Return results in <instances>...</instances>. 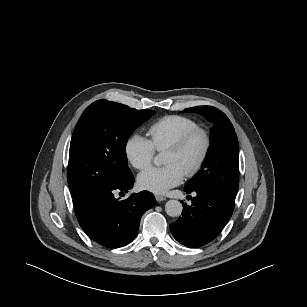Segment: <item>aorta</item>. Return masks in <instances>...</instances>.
<instances>
[{"label":"aorta","mask_w":307,"mask_h":307,"mask_svg":"<svg viewBox=\"0 0 307 307\" xmlns=\"http://www.w3.org/2000/svg\"><path fill=\"white\" fill-rule=\"evenodd\" d=\"M162 160L159 156L155 157V164L160 165ZM183 210L182 204L178 200H169L165 205V211L170 217H178Z\"/></svg>","instance_id":"aorta-1"}]
</instances>
